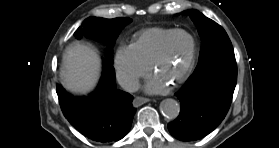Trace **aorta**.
I'll return each instance as SVG.
<instances>
[{
    "mask_svg": "<svg viewBox=\"0 0 279 148\" xmlns=\"http://www.w3.org/2000/svg\"><path fill=\"white\" fill-rule=\"evenodd\" d=\"M160 110L165 117L175 119L179 115L180 105L176 100L168 98L160 103Z\"/></svg>",
    "mask_w": 279,
    "mask_h": 148,
    "instance_id": "aorta-1",
    "label": "aorta"
}]
</instances>
